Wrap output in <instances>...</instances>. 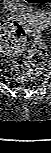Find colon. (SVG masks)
<instances>
[{"label": "colon", "instance_id": "colon-1", "mask_svg": "<svg viewBox=\"0 0 51 153\" xmlns=\"http://www.w3.org/2000/svg\"><path fill=\"white\" fill-rule=\"evenodd\" d=\"M31 5H46L50 0H24ZM1 49L10 56H19L26 45L24 28L14 20H5L1 27ZM30 64L23 60L14 62L11 68L13 78L20 83H27L39 76L47 60V48L41 34H36L29 50Z\"/></svg>", "mask_w": 51, "mask_h": 153}]
</instances>
